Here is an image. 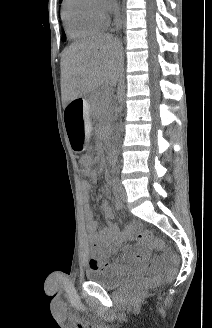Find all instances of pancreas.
I'll list each match as a JSON object with an SVG mask.
<instances>
[{"instance_id":"cf45deb5","label":"pancreas","mask_w":212,"mask_h":328,"mask_svg":"<svg viewBox=\"0 0 212 328\" xmlns=\"http://www.w3.org/2000/svg\"><path fill=\"white\" fill-rule=\"evenodd\" d=\"M110 106V100L107 95L102 91H97L93 96L92 107L98 115H103L104 117L108 114V109Z\"/></svg>"}]
</instances>
